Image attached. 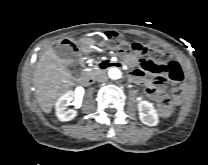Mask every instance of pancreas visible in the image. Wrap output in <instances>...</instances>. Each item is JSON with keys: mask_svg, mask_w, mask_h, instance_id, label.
Here are the masks:
<instances>
[{"mask_svg": "<svg viewBox=\"0 0 208 165\" xmlns=\"http://www.w3.org/2000/svg\"><path fill=\"white\" fill-rule=\"evenodd\" d=\"M96 72L95 71H89L88 74L94 75Z\"/></svg>", "mask_w": 208, "mask_h": 165, "instance_id": "1", "label": "pancreas"}]
</instances>
